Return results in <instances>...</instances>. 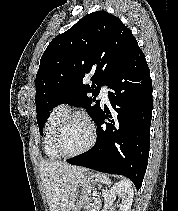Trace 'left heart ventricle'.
Wrapping results in <instances>:
<instances>
[{"label": "left heart ventricle", "instance_id": "b2bd125f", "mask_svg": "<svg viewBox=\"0 0 178 211\" xmlns=\"http://www.w3.org/2000/svg\"><path fill=\"white\" fill-rule=\"evenodd\" d=\"M90 138L89 127L85 121L73 118L68 121L59 137V147L63 153L71 154L80 151Z\"/></svg>", "mask_w": 178, "mask_h": 211}]
</instances>
